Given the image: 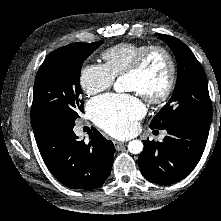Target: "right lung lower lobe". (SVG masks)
<instances>
[{"mask_svg":"<svg viewBox=\"0 0 221 221\" xmlns=\"http://www.w3.org/2000/svg\"><path fill=\"white\" fill-rule=\"evenodd\" d=\"M75 122L52 119L33 128L35 139L49 171L71 189H95L109 176L115 147L95 128L89 143L78 140Z\"/></svg>","mask_w":221,"mask_h":221,"instance_id":"98d812e1","label":"right lung lower lobe"}]
</instances>
